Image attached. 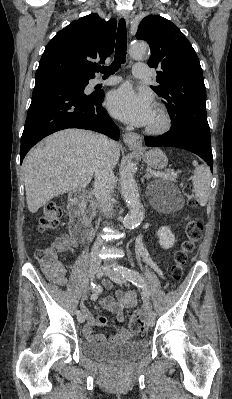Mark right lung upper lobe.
<instances>
[{
    "instance_id": "right-lung-upper-lobe-1",
    "label": "right lung upper lobe",
    "mask_w": 232,
    "mask_h": 399,
    "mask_svg": "<svg viewBox=\"0 0 232 399\" xmlns=\"http://www.w3.org/2000/svg\"><path fill=\"white\" fill-rule=\"evenodd\" d=\"M116 20L105 21L92 13L71 22L47 44L36 72V79H92L97 59L104 63L113 52Z\"/></svg>"
}]
</instances>
